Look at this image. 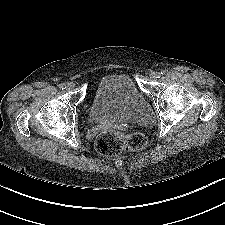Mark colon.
Segmentation results:
<instances>
[{
  "instance_id": "colon-1",
  "label": "colon",
  "mask_w": 225,
  "mask_h": 225,
  "mask_svg": "<svg viewBox=\"0 0 225 225\" xmlns=\"http://www.w3.org/2000/svg\"><path fill=\"white\" fill-rule=\"evenodd\" d=\"M147 137L141 132L125 134L120 131L103 132L95 140V148L102 155H117L123 151H138L147 146Z\"/></svg>"
}]
</instances>
